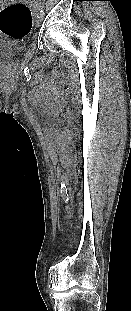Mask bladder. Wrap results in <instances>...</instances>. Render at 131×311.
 Masks as SVG:
<instances>
[{
    "mask_svg": "<svg viewBox=\"0 0 131 311\" xmlns=\"http://www.w3.org/2000/svg\"><path fill=\"white\" fill-rule=\"evenodd\" d=\"M4 49L9 54L14 55L22 50L21 45H13V44H7V43H0V49Z\"/></svg>",
    "mask_w": 131,
    "mask_h": 311,
    "instance_id": "bladder-1",
    "label": "bladder"
}]
</instances>
